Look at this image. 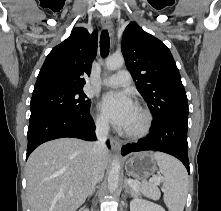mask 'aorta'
Instances as JSON below:
<instances>
[{"label": "aorta", "instance_id": "obj_1", "mask_svg": "<svg viewBox=\"0 0 221 211\" xmlns=\"http://www.w3.org/2000/svg\"><path fill=\"white\" fill-rule=\"evenodd\" d=\"M124 65V58L122 56H111L106 60V69L113 71L121 68ZM120 175V161L119 159H114L111 163L109 175H108V189L110 193L115 192L118 187Z\"/></svg>", "mask_w": 221, "mask_h": 211}]
</instances>
